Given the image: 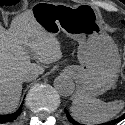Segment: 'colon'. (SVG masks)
Masks as SVG:
<instances>
[{
  "label": "colon",
  "mask_w": 125,
  "mask_h": 125,
  "mask_svg": "<svg viewBox=\"0 0 125 125\" xmlns=\"http://www.w3.org/2000/svg\"><path fill=\"white\" fill-rule=\"evenodd\" d=\"M122 79L125 81V47H124V51H123Z\"/></svg>",
  "instance_id": "1"
}]
</instances>
